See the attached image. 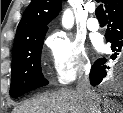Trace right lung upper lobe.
Returning <instances> with one entry per match:
<instances>
[{"label": "right lung upper lobe", "mask_w": 123, "mask_h": 113, "mask_svg": "<svg viewBox=\"0 0 123 113\" xmlns=\"http://www.w3.org/2000/svg\"><path fill=\"white\" fill-rule=\"evenodd\" d=\"M107 10L111 0H102ZM61 9V0H33L19 22L13 50L25 41L45 35L47 24Z\"/></svg>", "instance_id": "obj_1"}]
</instances>
